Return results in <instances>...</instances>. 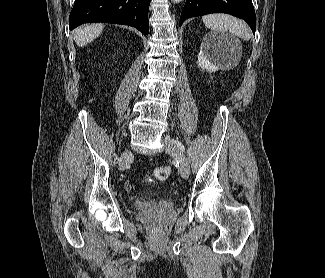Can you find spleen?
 <instances>
[{"mask_svg":"<svg viewBox=\"0 0 325 278\" xmlns=\"http://www.w3.org/2000/svg\"><path fill=\"white\" fill-rule=\"evenodd\" d=\"M206 27L216 32L229 30L235 36L249 40L250 33L248 27L239 19L226 14H209L202 17Z\"/></svg>","mask_w":325,"mask_h":278,"instance_id":"spleen-1","label":"spleen"}]
</instances>
